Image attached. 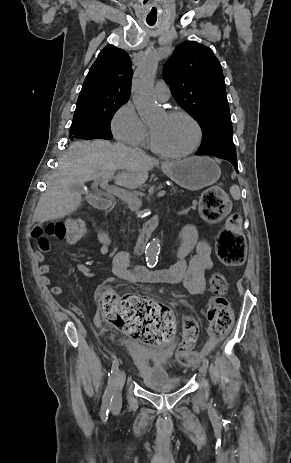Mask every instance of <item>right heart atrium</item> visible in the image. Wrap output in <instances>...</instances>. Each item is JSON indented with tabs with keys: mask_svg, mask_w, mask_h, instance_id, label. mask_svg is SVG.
Listing matches in <instances>:
<instances>
[{
	"mask_svg": "<svg viewBox=\"0 0 291 463\" xmlns=\"http://www.w3.org/2000/svg\"><path fill=\"white\" fill-rule=\"evenodd\" d=\"M111 130L118 141L130 146L140 147L148 141L147 128L130 101L113 115Z\"/></svg>",
	"mask_w": 291,
	"mask_h": 463,
	"instance_id": "right-heart-atrium-1",
	"label": "right heart atrium"
}]
</instances>
